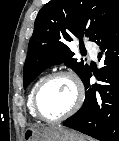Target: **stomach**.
Listing matches in <instances>:
<instances>
[{
  "label": "stomach",
  "instance_id": "0dacf381",
  "mask_svg": "<svg viewBox=\"0 0 119 141\" xmlns=\"http://www.w3.org/2000/svg\"><path fill=\"white\" fill-rule=\"evenodd\" d=\"M23 139L24 141H86L83 135L63 127L28 128L23 134Z\"/></svg>",
  "mask_w": 119,
  "mask_h": 141
}]
</instances>
